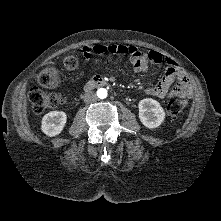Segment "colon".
<instances>
[{
	"label": "colon",
	"instance_id": "1",
	"mask_svg": "<svg viewBox=\"0 0 221 221\" xmlns=\"http://www.w3.org/2000/svg\"><path fill=\"white\" fill-rule=\"evenodd\" d=\"M79 59L75 55H69L64 58L63 66L68 70L77 68ZM60 82V73L55 67H46L38 75V83L44 88H54ZM32 108L36 113H43L49 109L55 108L65 102L63 95L47 93L34 87L28 94ZM188 102L183 99L174 98L167 104V112L171 116H179L184 113Z\"/></svg>",
	"mask_w": 221,
	"mask_h": 221
}]
</instances>
